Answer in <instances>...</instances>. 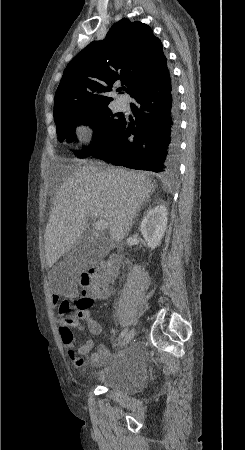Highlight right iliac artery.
Here are the masks:
<instances>
[{
	"mask_svg": "<svg viewBox=\"0 0 245 450\" xmlns=\"http://www.w3.org/2000/svg\"><path fill=\"white\" fill-rule=\"evenodd\" d=\"M127 331H128V329H125L121 334H120V336L119 337H123V336H125V334L127 333Z\"/></svg>",
	"mask_w": 245,
	"mask_h": 450,
	"instance_id": "obj_1",
	"label": "right iliac artery"
}]
</instances>
